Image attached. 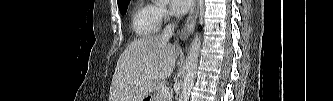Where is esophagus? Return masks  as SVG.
Instances as JSON below:
<instances>
[{
    "label": "esophagus",
    "instance_id": "esophagus-1",
    "mask_svg": "<svg viewBox=\"0 0 333 101\" xmlns=\"http://www.w3.org/2000/svg\"><path fill=\"white\" fill-rule=\"evenodd\" d=\"M199 4H200V0L194 1V4L187 17L186 23L180 34L181 40H186L189 37V35L193 32L195 25H196L198 13H199Z\"/></svg>",
    "mask_w": 333,
    "mask_h": 101
}]
</instances>
